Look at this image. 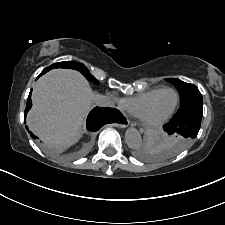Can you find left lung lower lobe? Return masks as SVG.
Instances as JSON below:
<instances>
[{"label": "left lung lower lobe", "mask_w": 225, "mask_h": 225, "mask_svg": "<svg viewBox=\"0 0 225 225\" xmlns=\"http://www.w3.org/2000/svg\"><path fill=\"white\" fill-rule=\"evenodd\" d=\"M203 108L194 107L181 113H176L173 119L163 129L169 135H180L186 139H194L200 129ZM185 144H179L182 149Z\"/></svg>", "instance_id": "0a47b994"}]
</instances>
